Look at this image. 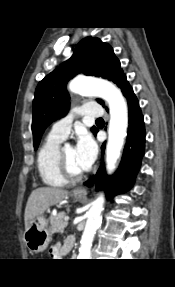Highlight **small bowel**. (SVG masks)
<instances>
[{"label": "small bowel", "mask_w": 175, "mask_h": 287, "mask_svg": "<svg viewBox=\"0 0 175 287\" xmlns=\"http://www.w3.org/2000/svg\"><path fill=\"white\" fill-rule=\"evenodd\" d=\"M72 243V237H69L63 246H61L59 243H56L52 246L51 253L56 257H62L69 251L72 246Z\"/></svg>", "instance_id": "1"}]
</instances>
